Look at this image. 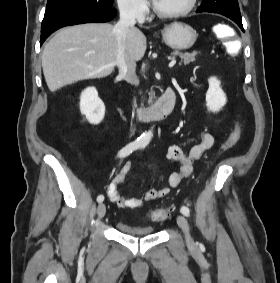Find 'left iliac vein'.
<instances>
[{"mask_svg": "<svg viewBox=\"0 0 280 283\" xmlns=\"http://www.w3.org/2000/svg\"><path fill=\"white\" fill-rule=\"evenodd\" d=\"M177 223H178L179 227L182 229V231L185 235V239H186L188 246H193L194 241H193V239L190 235L189 224H188L186 218L182 215H178L177 216Z\"/></svg>", "mask_w": 280, "mask_h": 283, "instance_id": "4c4485c4", "label": "left iliac vein"}]
</instances>
